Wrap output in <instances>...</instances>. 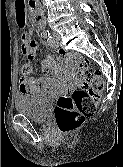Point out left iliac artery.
I'll return each mask as SVG.
<instances>
[{
	"instance_id": "obj_1",
	"label": "left iliac artery",
	"mask_w": 123,
	"mask_h": 167,
	"mask_svg": "<svg viewBox=\"0 0 123 167\" xmlns=\"http://www.w3.org/2000/svg\"><path fill=\"white\" fill-rule=\"evenodd\" d=\"M47 41H48V44L53 47L54 46V40H53V37L51 35H49L47 37Z\"/></svg>"
}]
</instances>
